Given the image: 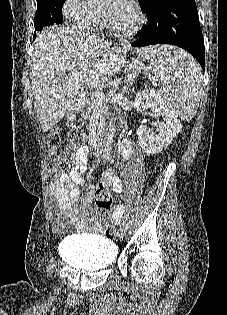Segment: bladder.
<instances>
[{"instance_id":"bladder-1","label":"bladder","mask_w":227,"mask_h":315,"mask_svg":"<svg viewBox=\"0 0 227 315\" xmlns=\"http://www.w3.org/2000/svg\"><path fill=\"white\" fill-rule=\"evenodd\" d=\"M62 257L82 270H98L112 266L117 258L116 245L99 235H77L61 246Z\"/></svg>"}]
</instances>
